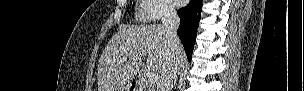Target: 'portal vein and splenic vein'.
<instances>
[{
	"label": "portal vein and splenic vein",
	"instance_id": "18ae733b",
	"mask_svg": "<svg viewBox=\"0 0 304 91\" xmlns=\"http://www.w3.org/2000/svg\"><path fill=\"white\" fill-rule=\"evenodd\" d=\"M132 59L135 60V61H139L140 63H142V60L140 58L135 57V58H132ZM127 60H128L127 57H124L122 59V61H124V62L127 61ZM147 78H148V82L150 84H154L156 82V78H154V76H152L151 74H147Z\"/></svg>",
	"mask_w": 304,
	"mask_h": 91
}]
</instances>
